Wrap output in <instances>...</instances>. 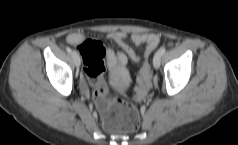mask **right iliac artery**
<instances>
[{
    "label": "right iliac artery",
    "mask_w": 238,
    "mask_h": 145,
    "mask_svg": "<svg viewBox=\"0 0 238 145\" xmlns=\"http://www.w3.org/2000/svg\"><path fill=\"white\" fill-rule=\"evenodd\" d=\"M66 50H67V52H68L69 54H71V53H72V50H71V48H70V47H67V48H66Z\"/></svg>",
    "instance_id": "obj_1"
}]
</instances>
